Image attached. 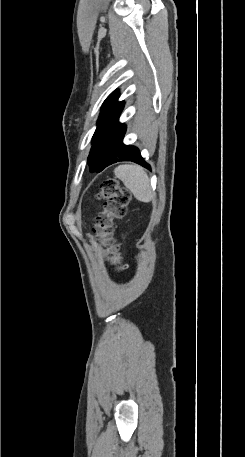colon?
<instances>
[{
  "mask_svg": "<svg viewBox=\"0 0 245 457\" xmlns=\"http://www.w3.org/2000/svg\"><path fill=\"white\" fill-rule=\"evenodd\" d=\"M98 196L103 199V209L96 217V236L111 253V263L116 270L123 271L127 266L122 262L119 247L113 238V225L115 220L125 217L130 194L119 186L116 179L107 178L101 183Z\"/></svg>",
  "mask_w": 245,
  "mask_h": 457,
  "instance_id": "colon-1",
  "label": "colon"
}]
</instances>
